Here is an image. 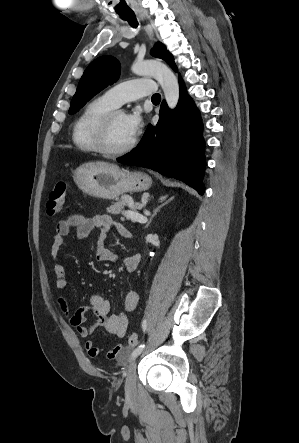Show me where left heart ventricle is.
<instances>
[{
    "label": "left heart ventricle",
    "instance_id": "b2bd125f",
    "mask_svg": "<svg viewBox=\"0 0 299 443\" xmlns=\"http://www.w3.org/2000/svg\"><path fill=\"white\" fill-rule=\"evenodd\" d=\"M134 136L128 130L125 123V114H117L112 122L108 145L111 149L117 150L125 147L131 142Z\"/></svg>",
    "mask_w": 299,
    "mask_h": 443
}]
</instances>
